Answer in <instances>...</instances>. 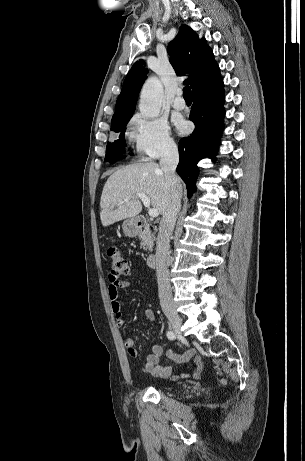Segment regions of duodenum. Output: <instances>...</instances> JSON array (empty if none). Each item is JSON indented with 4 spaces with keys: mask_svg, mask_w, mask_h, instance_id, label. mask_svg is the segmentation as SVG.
I'll return each mask as SVG.
<instances>
[{
    "mask_svg": "<svg viewBox=\"0 0 305 461\" xmlns=\"http://www.w3.org/2000/svg\"><path fill=\"white\" fill-rule=\"evenodd\" d=\"M134 226L137 231V234L139 236H144L148 233L149 231V224L148 222L143 219V218H137L134 221ZM156 263V257L154 254H149L146 258V265L149 268H152L155 266Z\"/></svg>",
    "mask_w": 305,
    "mask_h": 461,
    "instance_id": "duodenum-1",
    "label": "duodenum"
}]
</instances>
